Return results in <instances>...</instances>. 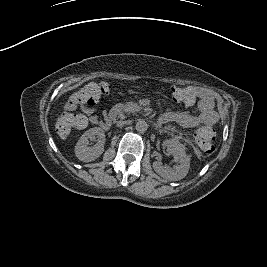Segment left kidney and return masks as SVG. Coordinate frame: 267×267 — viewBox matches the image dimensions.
<instances>
[{"label":"left kidney","instance_id":"1","mask_svg":"<svg viewBox=\"0 0 267 267\" xmlns=\"http://www.w3.org/2000/svg\"><path fill=\"white\" fill-rule=\"evenodd\" d=\"M164 145L167 147L168 152L174 157L176 165L170 167L168 165H163L160 161H154V171L161 177L170 181H177L184 178L190 168V156L186 154L184 146L174 140H165Z\"/></svg>","mask_w":267,"mask_h":267}]
</instances>
